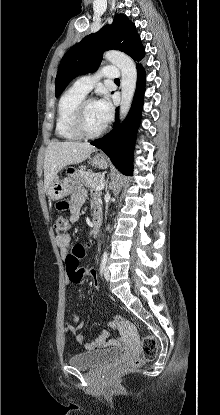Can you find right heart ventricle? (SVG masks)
<instances>
[{
	"label": "right heart ventricle",
	"mask_w": 220,
	"mask_h": 415,
	"mask_svg": "<svg viewBox=\"0 0 220 415\" xmlns=\"http://www.w3.org/2000/svg\"><path fill=\"white\" fill-rule=\"evenodd\" d=\"M86 94L71 87L59 99L55 121V133L65 140H78L80 137L71 127V117L76 106L85 98Z\"/></svg>",
	"instance_id": "obj_1"
}]
</instances>
